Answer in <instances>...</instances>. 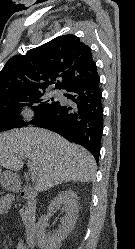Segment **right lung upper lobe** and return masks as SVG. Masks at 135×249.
Returning a JSON list of instances; mask_svg holds the SVG:
<instances>
[{
  "label": "right lung upper lobe",
  "mask_w": 135,
  "mask_h": 249,
  "mask_svg": "<svg viewBox=\"0 0 135 249\" xmlns=\"http://www.w3.org/2000/svg\"><path fill=\"white\" fill-rule=\"evenodd\" d=\"M91 49L72 34L12 57L0 71V99L45 91L52 84L67 89L97 76Z\"/></svg>",
  "instance_id": "right-lung-upper-lobe-1"
}]
</instances>
